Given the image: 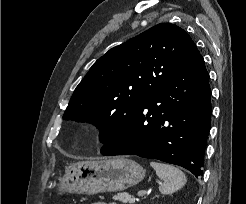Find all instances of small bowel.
I'll return each instance as SVG.
<instances>
[{
  "instance_id": "1",
  "label": "small bowel",
  "mask_w": 246,
  "mask_h": 204,
  "mask_svg": "<svg viewBox=\"0 0 246 204\" xmlns=\"http://www.w3.org/2000/svg\"><path fill=\"white\" fill-rule=\"evenodd\" d=\"M93 204H117V203L96 202V203H93Z\"/></svg>"
}]
</instances>
